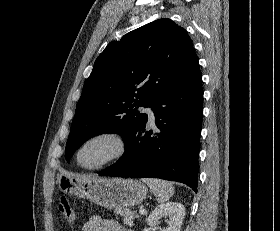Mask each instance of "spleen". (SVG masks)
<instances>
[{
	"label": "spleen",
	"mask_w": 280,
	"mask_h": 231,
	"mask_svg": "<svg viewBox=\"0 0 280 231\" xmlns=\"http://www.w3.org/2000/svg\"><path fill=\"white\" fill-rule=\"evenodd\" d=\"M142 181L149 185L159 203H165L174 193V185L165 179H154V177H142Z\"/></svg>",
	"instance_id": "spleen-1"
}]
</instances>
